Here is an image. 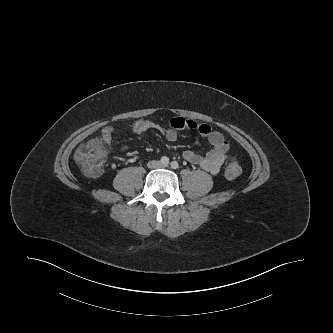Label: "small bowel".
Instances as JSON below:
<instances>
[{
    "label": "small bowel",
    "instance_id": "obj_1",
    "mask_svg": "<svg viewBox=\"0 0 333 333\" xmlns=\"http://www.w3.org/2000/svg\"><path fill=\"white\" fill-rule=\"evenodd\" d=\"M184 128L195 130L206 137L212 148L203 154L186 150L183 152V158L192 164L199 165L211 174L218 173L228 157L229 144L220 132L212 130L208 125L177 117L171 119L167 127L148 120H139L129 126V130L138 135H143L150 130L160 132L168 141H175L178 131ZM114 132L113 127H104L101 131L103 140L108 144L112 143ZM122 149L125 150L126 147L122 146Z\"/></svg>",
    "mask_w": 333,
    "mask_h": 333
}]
</instances>
